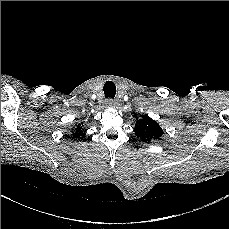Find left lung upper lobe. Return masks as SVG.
I'll use <instances>...</instances> for the list:
<instances>
[{"label": "left lung upper lobe", "instance_id": "left-lung-upper-lobe-1", "mask_svg": "<svg viewBox=\"0 0 229 229\" xmlns=\"http://www.w3.org/2000/svg\"><path fill=\"white\" fill-rule=\"evenodd\" d=\"M137 119L134 131L135 135L144 142H150L151 140L159 139L163 134V130L160 125L151 119L147 114L142 118Z\"/></svg>", "mask_w": 229, "mask_h": 229}]
</instances>
